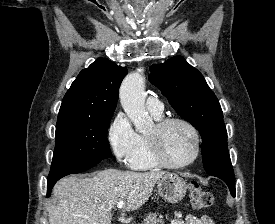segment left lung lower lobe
<instances>
[{
	"instance_id": "1",
	"label": "left lung lower lobe",
	"mask_w": 275,
	"mask_h": 224,
	"mask_svg": "<svg viewBox=\"0 0 275 224\" xmlns=\"http://www.w3.org/2000/svg\"><path fill=\"white\" fill-rule=\"evenodd\" d=\"M222 179L229 187L230 192L232 195H235V179L233 178H220Z\"/></svg>"
}]
</instances>
